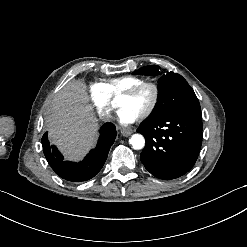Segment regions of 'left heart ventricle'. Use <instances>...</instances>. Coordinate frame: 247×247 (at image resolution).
Returning a JSON list of instances; mask_svg holds the SVG:
<instances>
[{
  "mask_svg": "<svg viewBox=\"0 0 247 247\" xmlns=\"http://www.w3.org/2000/svg\"><path fill=\"white\" fill-rule=\"evenodd\" d=\"M151 98V92L148 89H145L140 92V94L135 97L133 100H125L126 105H133L138 108L143 114L149 107Z\"/></svg>",
  "mask_w": 247,
  "mask_h": 247,
  "instance_id": "b2bd125f",
  "label": "left heart ventricle"
}]
</instances>
